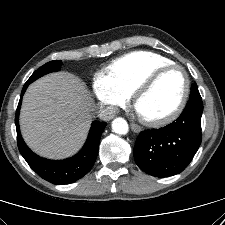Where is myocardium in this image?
I'll return each instance as SVG.
<instances>
[{"label":"myocardium","mask_w":225,"mask_h":225,"mask_svg":"<svg viewBox=\"0 0 225 225\" xmlns=\"http://www.w3.org/2000/svg\"><path fill=\"white\" fill-rule=\"evenodd\" d=\"M171 70H180L183 73L184 76V88L182 96L178 102V104L175 106V108L169 112L168 114L159 117V118H145L139 115L140 121L150 127H160L163 125H166L172 121H174L177 117L180 116V114L183 112L188 98L190 94V79L187 71L184 67L178 64H170L167 66H164L162 68H159L158 70L152 72L149 74L135 89V91L132 94V101H133V107L136 110V105L140 98L145 95L158 81L160 77H162L164 74Z\"/></svg>","instance_id":"obj_1"}]
</instances>
